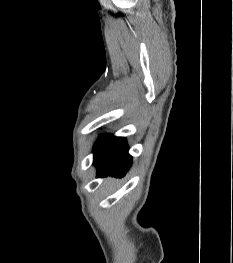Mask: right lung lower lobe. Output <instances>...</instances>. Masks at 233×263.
<instances>
[{
	"label": "right lung lower lobe",
	"mask_w": 233,
	"mask_h": 263,
	"mask_svg": "<svg viewBox=\"0 0 233 263\" xmlns=\"http://www.w3.org/2000/svg\"><path fill=\"white\" fill-rule=\"evenodd\" d=\"M132 157L128 154L126 139L123 137H102L94 147V164L98 177L112 173L123 176L131 166Z\"/></svg>",
	"instance_id": "1"
}]
</instances>
